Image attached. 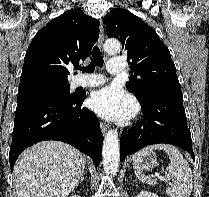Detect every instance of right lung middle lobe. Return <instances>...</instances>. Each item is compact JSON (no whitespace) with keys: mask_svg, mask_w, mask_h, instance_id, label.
I'll return each mask as SVG.
<instances>
[{"mask_svg":"<svg viewBox=\"0 0 209 197\" xmlns=\"http://www.w3.org/2000/svg\"><path fill=\"white\" fill-rule=\"evenodd\" d=\"M70 93L68 82H45L19 87L17 106L36 100L49 98H66L74 95Z\"/></svg>","mask_w":209,"mask_h":197,"instance_id":"obj_1","label":"right lung middle lobe"}]
</instances>
